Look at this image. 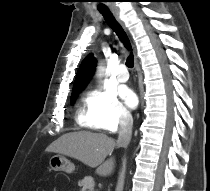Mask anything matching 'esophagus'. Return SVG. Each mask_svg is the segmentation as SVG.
<instances>
[{
    "label": "esophagus",
    "instance_id": "esophagus-1",
    "mask_svg": "<svg viewBox=\"0 0 210 191\" xmlns=\"http://www.w3.org/2000/svg\"><path fill=\"white\" fill-rule=\"evenodd\" d=\"M112 12H113V14L115 15L116 19H117L119 22H121L120 19H119V16H118V11H117L115 8H112Z\"/></svg>",
    "mask_w": 210,
    "mask_h": 191
}]
</instances>
